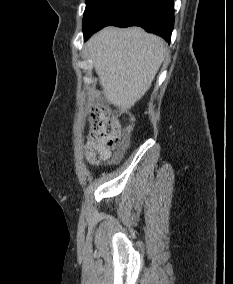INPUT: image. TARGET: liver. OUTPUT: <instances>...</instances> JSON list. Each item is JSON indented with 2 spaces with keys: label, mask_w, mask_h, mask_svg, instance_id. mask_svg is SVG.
<instances>
[{
  "label": "liver",
  "mask_w": 233,
  "mask_h": 284,
  "mask_svg": "<svg viewBox=\"0 0 233 284\" xmlns=\"http://www.w3.org/2000/svg\"><path fill=\"white\" fill-rule=\"evenodd\" d=\"M87 48L105 99L121 113L149 90L167 52L162 38L139 27H107L91 37Z\"/></svg>",
  "instance_id": "1"
}]
</instances>
